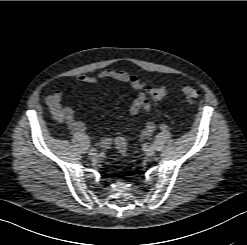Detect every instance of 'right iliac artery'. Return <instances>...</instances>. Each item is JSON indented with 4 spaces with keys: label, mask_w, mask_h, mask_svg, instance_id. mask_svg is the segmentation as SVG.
Returning a JSON list of instances; mask_svg holds the SVG:
<instances>
[{
    "label": "right iliac artery",
    "mask_w": 247,
    "mask_h": 245,
    "mask_svg": "<svg viewBox=\"0 0 247 245\" xmlns=\"http://www.w3.org/2000/svg\"><path fill=\"white\" fill-rule=\"evenodd\" d=\"M90 151H92V152H96V149H91Z\"/></svg>",
    "instance_id": "1"
}]
</instances>
